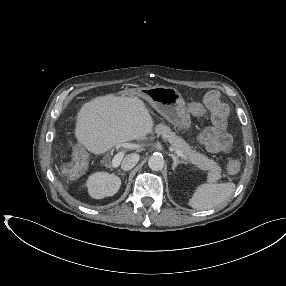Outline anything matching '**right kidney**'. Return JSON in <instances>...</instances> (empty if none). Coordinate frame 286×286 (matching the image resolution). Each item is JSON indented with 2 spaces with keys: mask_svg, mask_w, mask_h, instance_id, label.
Listing matches in <instances>:
<instances>
[{
  "mask_svg": "<svg viewBox=\"0 0 286 286\" xmlns=\"http://www.w3.org/2000/svg\"><path fill=\"white\" fill-rule=\"evenodd\" d=\"M121 179L115 174L96 172L87 180L88 192L95 199L113 196L119 190Z\"/></svg>",
  "mask_w": 286,
  "mask_h": 286,
  "instance_id": "right-kidney-1",
  "label": "right kidney"
}]
</instances>
